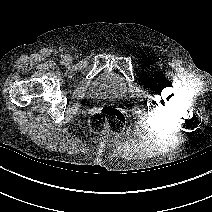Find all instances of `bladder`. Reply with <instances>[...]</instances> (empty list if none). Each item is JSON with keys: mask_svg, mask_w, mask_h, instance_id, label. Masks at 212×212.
<instances>
[{"mask_svg": "<svg viewBox=\"0 0 212 212\" xmlns=\"http://www.w3.org/2000/svg\"><path fill=\"white\" fill-rule=\"evenodd\" d=\"M127 94V87L122 79L117 76L103 73L93 83L89 90L90 98L99 99H123Z\"/></svg>", "mask_w": 212, "mask_h": 212, "instance_id": "1", "label": "bladder"}]
</instances>
